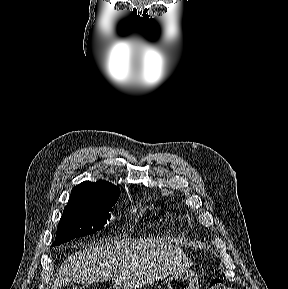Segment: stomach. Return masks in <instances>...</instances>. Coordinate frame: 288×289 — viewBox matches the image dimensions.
<instances>
[{"instance_id": "1", "label": "stomach", "mask_w": 288, "mask_h": 289, "mask_svg": "<svg viewBox=\"0 0 288 289\" xmlns=\"http://www.w3.org/2000/svg\"><path fill=\"white\" fill-rule=\"evenodd\" d=\"M168 289H197L198 277L192 270H183L170 275Z\"/></svg>"}]
</instances>
